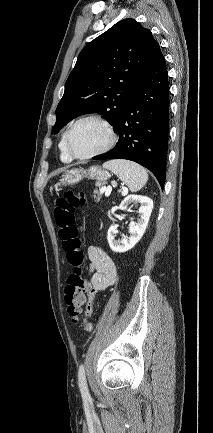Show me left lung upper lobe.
<instances>
[{"label":"left lung upper lobe","mask_w":213,"mask_h":433,"mask_svg":"<svg viewBox=\"0 0 213 433\" xmlns=\"http://www.w3.org/2000/svg\"><path fill=\"white\" fill-rule=\"evenodd\" d=\"M159 50L150 30L134 19L121 20L95 38L80 52L66 81L52 133L89 113L105 115L115 130Z\"/></svg>","instance_id":"left-lung-upper-lobe-1"}]
</instances>
